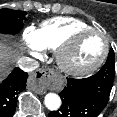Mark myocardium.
<instances>
[{"label":"myocardium","mask_w":117,"mask_h":117,"mask_svg":"<svg viewBox=\"0 0 117 117\" xmlns=\"http://www.w3.org/2000/svg\"><path fill=\"white\" fill-rule=\"evenodd\" d=\"M90 34H95L102 37L104 41V49L101 56L95 62L87 66L73 65L69 60L72 51L74 50L77 43L82 37ZM109 49H110L109 40L105 33L95 28L83 29L72 33L64 41V43L57 50L56 60L59 68L67 75L77 77L85 76L95 72L102 66V64L105 62L109 54Z\"/></svg>","instance_id":"1"}]
</instances>
